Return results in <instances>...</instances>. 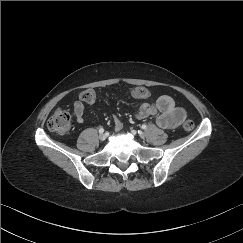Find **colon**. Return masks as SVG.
Masks as SVG:
<instances>
[{"instance_id": "obj_1", "label": "colon", "mask_w": 243, "mask_h": 243, "mask_svg": "<svg viewBox=\"0 0 243 243\" xmlns=\"http://www.w3.org/2000/svg\"><path fill=\"white\" fill-rule=\"evenodd\" d=\"M131 96L136 99H144L148 96V91L144 87H136L132 89ZM80 98L85 103H93L96 99V94L92 89H87L81 93ZM47 126L52 132L60 135L67 134L71 129L69 113L63 109L56 110L48 119ZM193 127L194 122L191 120H186L183 123V128L186 131L192 130Z\"/></svg>"}]
</instances>
